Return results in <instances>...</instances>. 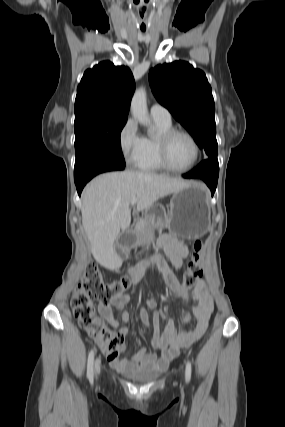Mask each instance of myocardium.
<instances>
[{
	"label": "myocardium",
	"instance_id": "myocardium-1",
	"mask_svg": "<svg viewBox=\"0 0 285 427\" xmlns=\"http://www.w3.org/2000/svg\"><path fill=\"white\" fill-rule=\"evenodd\" d=\"M177 135L186 136L194 146V158H193L192 162L190 163V165L185 167V168H176V167L172 166V164L170 163L169 158H168L169 144H170L171 140ZM158 154H159L160 162L165 169H167L171 172H175V173H186V172L192 170L196 166V164L199 160V156H200V146H199L197 140L195 139V137L190 132H188L187 130L180 129V128H171L167 131L162 132L159 135V137H158Z\"/></svg>",
	"mask_w": 285,
	"mask_h": 427
}]
</instances>
